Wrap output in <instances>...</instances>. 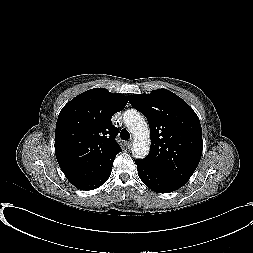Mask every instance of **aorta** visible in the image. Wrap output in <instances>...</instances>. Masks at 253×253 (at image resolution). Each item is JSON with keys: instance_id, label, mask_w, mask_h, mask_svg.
<instances>
[{"instance_id": "aorta-1", "label": "aorta", "mask_w": 253, "mask_h": 253, "mask_svg": "<svg viewBox=\"0 0 253 253\" xmlns=\"http://www.w3.org/2000/svg\"><path fill=\"white\" fill-rule=\"evenodd\" d=\"M124 123L134 137L132 155L143 159L150 150V132L144 117L135 109L124 112Z\"/></svg>"}]
</instances>
